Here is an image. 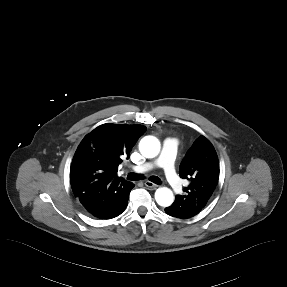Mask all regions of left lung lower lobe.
Listing matches in <instances>:
<instances>
[{"label": "left lung lower lobe", "mask_w": 287, "mask_h": 287, "mask_svg": "<svg viewBox=\"0 0 287 287\" xmlns=\"http://www.w3.org/2000/svg\"><path fill=\"white\" fill-rule=\"evenodd\" d=\"M165 212L170 216L178 218H190L199 213V211L184 207L182 201H179L177 196L174 203L171 206L165 208Z\"/></svg>", "instance_id": "1"}]
</instances>
